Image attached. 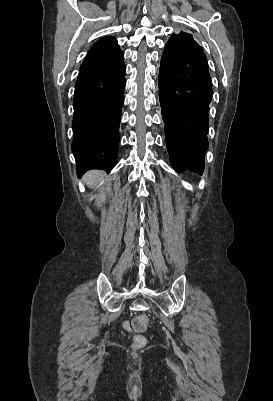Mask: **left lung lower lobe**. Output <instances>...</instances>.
Returning <instances> with one entry per match:
<instances>
[{"label": "left lung lower lobe", "instance_id": "left-lung-lower-lobe-1", "mask_svg": "<svg viewBox=\"0 0 273 401\" xmlns=\"http://www.w3.org/2000/svg\"><path fill=\"white\" fill-rule=\"evenodd\" d=\"M211 98L202 47L193 37L168 41L161 57L159 99L170 162L178 173H203Z\"/></svg>", "mask_w": 273, "mask_h": 401}]
</instances>
